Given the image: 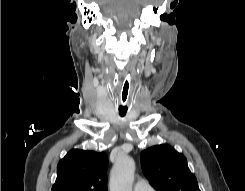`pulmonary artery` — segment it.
<instances>
[{"label":"pulmonary artery","mask_w":245,"mask_h":191,"mask_svg":"<svg viewBox=\"0 0 245 191\" xmlns=\"http://www.w3.org/2000/svg\"><path fill=\"white\" fill-rule=\"evenodd\" d=\"M133 191H155L146 181L139 180L135 183Z\"/></svg>","instance_id":"pulmonary-artery-1"}]
</instances>
